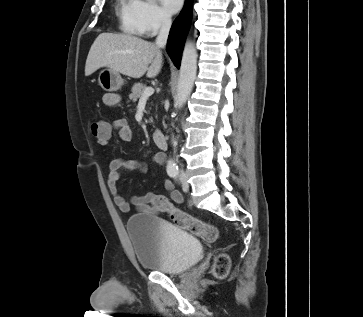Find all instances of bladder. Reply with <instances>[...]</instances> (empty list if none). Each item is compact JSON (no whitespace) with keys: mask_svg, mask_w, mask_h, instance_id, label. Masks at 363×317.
Segmentation results:
<instances>
[{"mask_svg":"<svg viewBox=\"0 0 363 317\" xmlns=\"http://www.w3.org/2000/svg\"><path fill=\"white\" fill-rule=\"evenodd\" d=\"M126 230L142 268L179 274L189 270L202 257L203 246L198 237L157 216L133 215Z\"/></svg>","mask_w":363,"mask_h":317,"instance_id":"obj_1","label":"bladder"}]
</instances>
